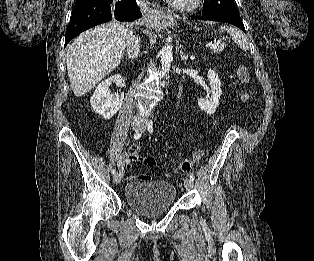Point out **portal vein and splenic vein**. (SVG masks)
Instances as JSON below:
<instances>
[{
    "instance_id": "obj_1",
    "label": "portal vein and splenic vein",
    "mask_w": 314,
    "mask_h": 261,
    "mask_svg": "<svg viewBox=\"0 0 314 261\" xmlns=\"http://www.w3.org/2000/svg\"><path fill=\"white\" fill-rule=\"evenodd\" d=\"M218 43H219L218 41H215L214 43H210V48L215 49L217 47Z\"/></svg>"
}]
</instances>
